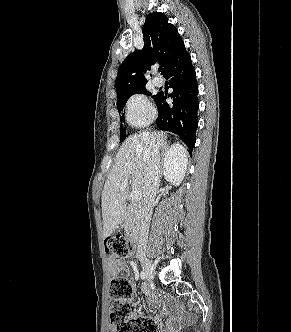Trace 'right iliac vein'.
<instances>
[{
    "mask_svg": "<svg viewBox=\"0 0 291 332\" xmlns=\"http://www.w3.org/2000/svg\"><path fill=\"white\" fill-rule=\"evenodd\" d=\"M140 262H141L143 271L146 274V277L149 280L154 279V276H155L154 267H153L152 263L150 262V260L145 257H142L140 259Z\"/></svg>",
    "mask_w": 291,
    "mask_h": 332,
    "instance_id": "right-iliac-vein-1",
    "label": "right iliac vein"
}]
</instances>
